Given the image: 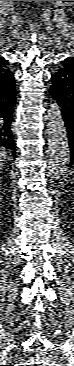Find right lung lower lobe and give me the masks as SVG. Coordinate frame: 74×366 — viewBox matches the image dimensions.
I'll list each match as a JSON object with an SVG mask.
<instances>
[{
    "label": "right lung lower lobe",
    "mask_w": 74,
    "mask_h": 366,
    "mask_svg": "<svg viewBox=\"0 0 74 366\" xmlns=\"http://www.w3.org/2000/svg\"><path fill=\"white\" fill-rule=\"evenodd\" d=\"M14 75L7 81H0V147H5L16 157V145L10 125L16 104Z\"/></svg>",
    "instance_id": "98d812e1"
}]
</instances>
